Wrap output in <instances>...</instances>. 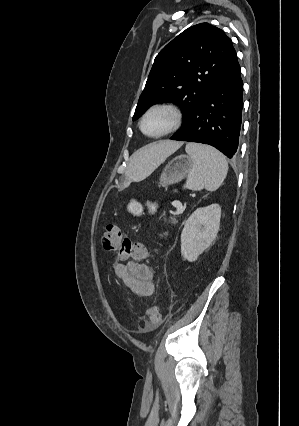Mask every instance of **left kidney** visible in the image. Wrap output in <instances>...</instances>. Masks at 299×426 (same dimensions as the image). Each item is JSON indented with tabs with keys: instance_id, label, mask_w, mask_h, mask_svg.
I'll return each instance as SVG.
<instances>
[{
	"instance_id": "1",
	"label": "left kidney",
	"mask_w": 299,
	"mask_h": 426,
	"mask_svg": "<svg viewBox=\"0 0 299 426\" xmlns=\"http://www.w3.org/2000/svg\"><path fill=\"white\" fill-rule=\"evenodd\" d=\"M221 208L218 204L196 209L185 221L181 233V255L195 261L214 241L220 226Z\"/></svg>"
}]
</instances>
